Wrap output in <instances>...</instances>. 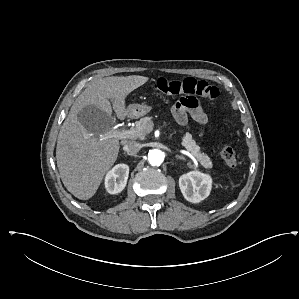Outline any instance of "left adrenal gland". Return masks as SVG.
Returning a JSON list of instances; mask_svg holds the SVG:
<instances>
[{
  "mask_svg": "<svg viewBox=\"0 0 299 299\" xmlns=\"http://www.w3.org/2000/svg\"><path fill=\"white\" fill-rule=\"evenodd\" d=\"M175 158H176V159L184 160V157H182V156H176Z\"/></svg>",
  "mask_w": 299,
  "mask_h": 299,
  "instance_id": "left-adrenal-gland-1",
  "label": "left adrenal gland"
}]
</instances>
